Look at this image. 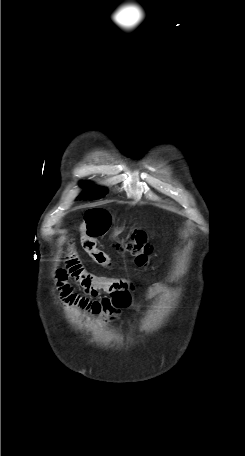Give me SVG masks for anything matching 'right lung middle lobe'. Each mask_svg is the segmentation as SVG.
I'll return each instance as SVG.
<instances>
[{
	"label": "right lung middle lobe",
	"instance_id": "right-lung-middle-lobe-1",
	"mask_svg": "<svg viewBox=\"0 0 245 456\" xmlns=\"http://www.w3.org/2000/svg\"><path fill=\"white\" fill-rule=\"evenodd\" d=\"M81 186L88 187V189L80 196V198L83 200L98 199L104 197L107 194L106 189L99 187H89L88 183H82Z\"/></svg>",
	"mask_w": 245,
	"mask_h": 456
}]
</instances>
